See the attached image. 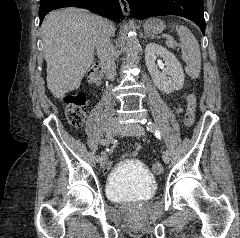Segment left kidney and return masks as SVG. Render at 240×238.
Returning a JSON list of instances; mask_svg holds the SVG:
<instances>
[{
	"label": "left kidney",
	"mask_w": 240,
	"mask_h": 238,
	"mask_svg": "<svg viewBox=\"0 0 240 238\" xmlns=\"http://www.w3.org/2000/svg\"><path fill=\"white\" fill-rule=\"evenodd\" d=\"M157 57L163 58L166 68L160 72L155 64ZM145 62L154 84L164 93L178 91L184 84V71L173 53L157 43H148Z\"/></svg>",
	"instance_id": "left-kidney-1"
}]
</instances>
